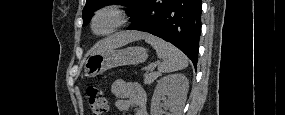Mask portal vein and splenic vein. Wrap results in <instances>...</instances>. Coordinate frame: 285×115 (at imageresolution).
Returning <instances> with one entry per match:
<instances>
[{
    "instance_id": "obj_1",
    "label": "portal vein and splenic vein",
    "mask_w": 285,
    "mask_h": 115,
    "mask_svg": "<svg viewBox=\"0 0 285 115\" xmlns=\"http://www.w3.org/2000/svg\"><path fill=\"white\" fill-rule=\"evenodd\" d=\"M160 63V61H156V62H153L151 65H150V68L149 70L150 71H153L155 69V67Z\"/></svg>"
}]
</instances>
